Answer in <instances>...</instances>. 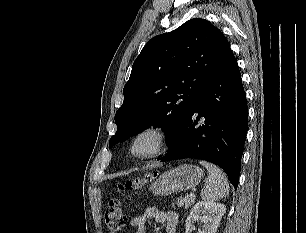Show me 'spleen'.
<instances>
[{
  "mask_svg": "<svg viewBox=\"0 0 306 233\" xmlns=\"http://www.w3.org/2000/svg\"><path fill=\"white\" fill-rule=\"evenodd\" d=\"M209 172V176L201 190V198L206 202H215L229 194V184L224 172L209 162L200 161Z\"/></svg>",
  "mask_w": 306,
  "mask_h": 233,
  "instance_id": "1",
  "label": "spleen"
}]
</instances>
